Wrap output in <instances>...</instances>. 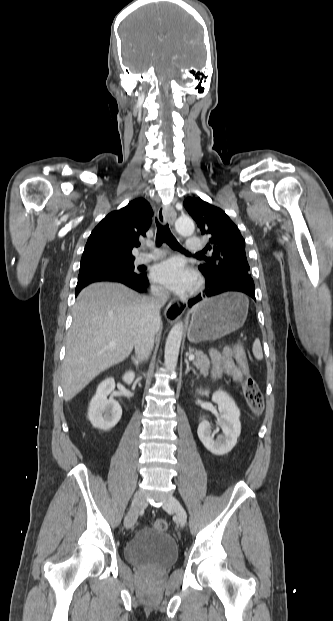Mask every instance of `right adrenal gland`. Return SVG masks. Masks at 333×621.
<instances>
[{
    "label": "right adrenal gland",
    "mask_w": 333,
    "mask_h": 621,
    "mask_svg": "<svg viewBox=\"0 0 333 621\" xmlns=\"http://www.w3.org/2000/svg\"><path fill=\"white\" fill-rule=\"evenodd\" d=\"M131 359H132V361H133L134 365H135L136 367H138V365H139V359H138V357H136L135 355H132Z\"/></svg>",
    "instance_id": "right-adrenal-gland-1"
}]
</instances>
